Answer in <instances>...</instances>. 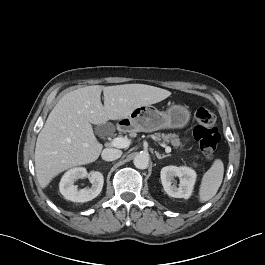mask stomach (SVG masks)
Wrapping results in <instances>:
<instances>
[{"mask_svg":"<svg viewBox=\"0 0 265 265\" xmlns=\"http://www.w3.org/2000/svg\"><path fill=\"white\" fill-rule=\"evenodd\" d=\"M190 121L186 106L172 104L167 110L159 111L153 106H141L121 120L122 127L128 131L152 132L160 129L184 128Z\"/></svg>","mask_w":265,"mask_h":265,"instance_id":"1","label":"stomach"}]
</instances>
